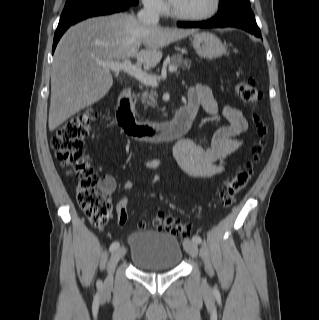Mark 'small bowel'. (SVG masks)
Listing matches in <instances>:
<instances>
[{
  "instance_id": "1",
  "label": "small bowel",
  "mask_w": 319,
  "mask_h": 320,
  "mask_svg": "<svg viewBox=\"0 0 319 320\" xmlns=\"http://www.w3.org/2000/svg\"><path fill=\"white\" fill-rule=\"evenodd\" d=\"M186 106L195 113L202 108L209 115L222 114L228 120L227 125L214 132L209 147L203 148L190 139H182L173 149L175 161L185 173L195 178L214 177L223 171L226 159L242 145L241 136L247 131V120L234 106H225L220 111L211 89L202 84L190 90ZM159 165V162L151 160L144 163L143 167L151 169ZM134 186L133 180H127L122 188L129 191ZM127 209L128 200L122 198L117 204V213L127 212Z\"/></svg>"
}]
</instances>
